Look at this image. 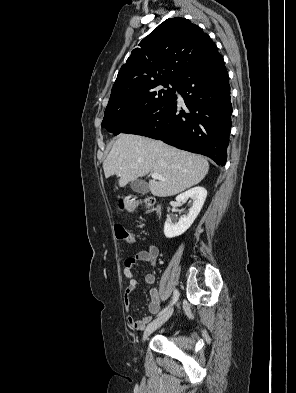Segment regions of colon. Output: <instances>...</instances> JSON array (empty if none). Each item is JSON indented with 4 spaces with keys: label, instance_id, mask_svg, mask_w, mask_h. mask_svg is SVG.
<instances>
[{
    "label": "colon",
    "instance_id": "5ec220e1",
    "mask_svg": "<svg viewBox=\"0 0 296 393\" xmlns=\"http://www.w3.org/2000/svg\"><path fill=\"white\" fill-rule=\"evenodd\" d=\"M142 203L146 207H150L153 204V200L146 198L142 201ZM115 234L118 239L124 241L126 244L130 246H133L136 243L135 234L132 231L127 230L121 225L115 226Z\"/></svg>",
    "mask_w": 296,
    "mask_h": 393
}]
</instances>
